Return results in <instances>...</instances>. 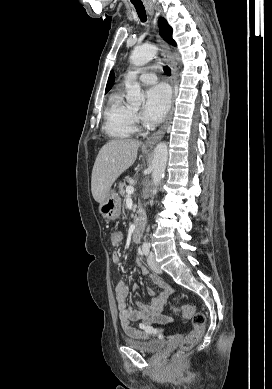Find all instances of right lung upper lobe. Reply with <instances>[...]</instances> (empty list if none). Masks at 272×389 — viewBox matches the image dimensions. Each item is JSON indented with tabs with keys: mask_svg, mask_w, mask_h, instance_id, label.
Listing matches in <instances>:
<instances>
[{
	"mask_svg": "<svg viewBox=\"0 0 272 389\" xmlns=\"http://www.w3.org/2000/svg\"><path fill=\"white\" fill-rule=\"evenodd\" d=\"M114 81H115V76H114L113 71H111L109 78H108L107 85H106V90H105L106 93L111 89Z\"/></svg>",
	"mask_w": 272,
	"mask_h": 389,
	"instance_id": "1",
	"label": "right lung upper lobe"
}]
</instances>
